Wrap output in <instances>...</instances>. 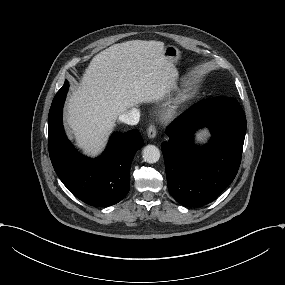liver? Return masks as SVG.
Masks as SVG:
<instances>
[{"mask_svg": "<svg viewBox=\"0 0 285 285\" xmlns=\"http://www.w3.org/2000/svg\"><path fill=\"white\" fill-rule=\"evenodd\" d=\"M178 71L161 41L131 40L95 55L67 103L66 123L89 156L105 147L117 118L141 103L177 90Z\"/></svg>", "mask_w": 285, "mask_h": 285, "instance_id": "6515ba94", "label": "liver"}]
</instances>
